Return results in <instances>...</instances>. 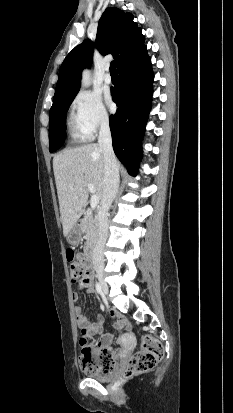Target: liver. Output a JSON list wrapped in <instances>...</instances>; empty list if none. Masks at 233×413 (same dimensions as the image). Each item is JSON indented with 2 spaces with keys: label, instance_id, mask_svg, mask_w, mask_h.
Returning <instances> with one entry per match:
<instances>
[{
  "label": "liver",
  "instance_id": "obj_1",
  "mask_svg": "<svg viewBox=\"0 0 233 413\" xmlns=\"http://www.w3.org/2000/svg\"><path fill=\"white\" fill-rule=\"evenodd\" d=\"M118 168L120 166L118 165ZM53 171L57 188L63 235L84 213L89 196L88 184L102 199L104 187V155L99 144H87L61 151L53 158Z\"/></svg>",
  "mask_w": 233,
  "mask_h": 413
}]
</instances>
